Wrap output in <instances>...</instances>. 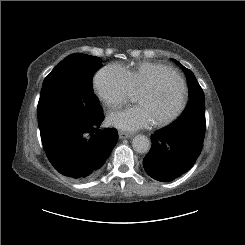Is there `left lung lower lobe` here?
<instances>
[{
    "mask_svg": "<svg viewBox=\"0 0 245 245\" xmlns=\"http://www.w3.org/2000/svg\"><path fill=\"white\" fill-rule=\"evenodd\" d=\"M151 141L143 166L150 177L162 182L185 174L194 165L203 144L191 135L171 133L164 128L156 131Z\"/></svg>",
    "mask_w": 245,
    "mask_h": 245,
    "instance_id": "obj_1",
    "label": "left lung lower lobe"
}]
</instances>
